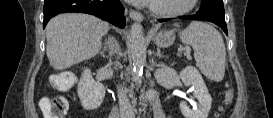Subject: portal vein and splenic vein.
<instances>
[{"mask_svg":"<svg viewBox=\"0 0 273 118\" xmlns=\"http://www.w3.org/2000/svg\"><path fill=\"white\" fill-rule=\"evenodd\" d=\"M182 50H184L186 53H190V49L189 48H183Z\"/></svg>","mask_w":273,"mask_h":118,"instance_id":"1","label":"portal vein and splenic vein"}]
</instances>
